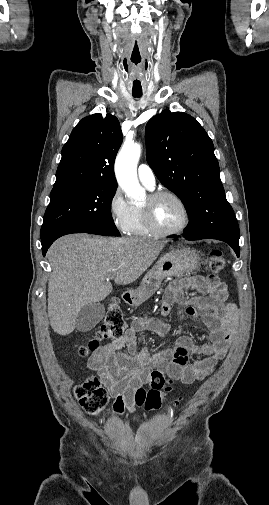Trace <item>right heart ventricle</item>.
<instances>
[{"label":"right heart ventricle","instance_id":"e07e8e85","mask_svg":"<svg viewBox=\"0 0 269 505\" xmlns=\"http://www.w3.org/2000/svg\"><path fill=\"white\" fill-rule=\"evenodd\" d=\"M132 217L130 227L127 233L134 236H150L152 233L144 224L142 212L139 206H131Z\"/></svg>","mask_w":269,"mask_h":505}]
</instances>
